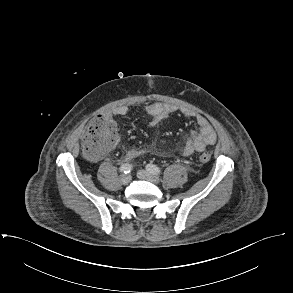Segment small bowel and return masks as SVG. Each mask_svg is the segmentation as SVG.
Wrapping results in <instances>:
<instances>
[{
	"instance_id": "c3829d8e",
	"label": "small bowel",
	"mask_w": 293,
	"mask_h": 293,
	"mask_svg": "<svg viewBox=\"0 0 293 293\" xmlns=\"http://www.w3.org/2000/svg\"><path fill=\"white\" fill-rule=\"evenodd\" d=\"M146 114L151 117L150 123L152 125H157L171 114L175 112H180L183 116L194 118L197 124V129L190 133L189 138L185 142L182 148V153L185 156H190L195 152H201L209 145L216 142L217 137L213 127L210 125L208 120L201 114H196L188 109H178L177 107L169 104L163 103H150L144 108ZM130 112L128 106H117L111 110L105 111L103 117L113 120L117 116H126ZM118 141V136H117ZM142 151L138 149H131L126 152L124 156L125 161H130L139 157ZM164 155V153H161Z\"/></svg>"
}]
</instances>
